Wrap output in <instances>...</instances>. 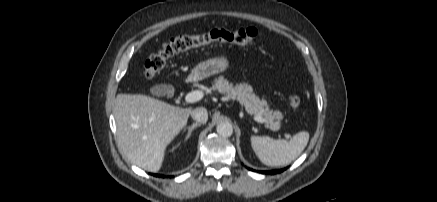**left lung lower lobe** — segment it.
Wrapping results in <instances>:
<instances>
[{"mask_svg": "<svg viewBox=\"0 0 437 202\" xmlns=\"http://www.w3.org/2000/svg\"><path fill=\"white\" fill-rule=\"evenodd\" d=\"M285 169H286V168H284V169H279V170H271V171H259V172H260V173H263V174H277V173H281V172H283Z\"/></svg>", "mask_w": 437, "mask_h": 202, "instance_id": "1", "label": "left lung lower lobe"}]
</instances>
